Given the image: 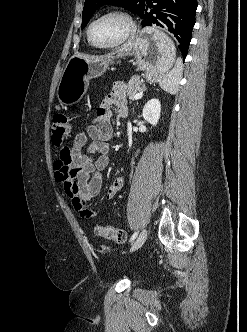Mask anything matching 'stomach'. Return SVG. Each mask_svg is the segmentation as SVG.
Here are the masks:
<instances>
[{
  "mask_svg": "<svg viewBox=\"0 0 247 332\" xmlns=\"http://www.w3.org/2000/svg\"><path fill=\"white\" fill-rule=\"evenodd\" d=\"M134 55L146 78L157 82L173 67L176 49L171 39L156 27H146L130 39L116 55L100 61L72 57L64 68L57 87V98L64 106L78 103L87 92L89 80L101 76L115 58Z\"/></svg>",
  "mask_w": 247,
  "mask_h": 332,
  "instance_id": "0dacf381",
  "label": "stomach"
}]
</instances>
